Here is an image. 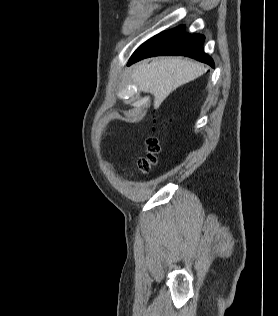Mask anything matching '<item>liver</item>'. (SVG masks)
<instances>
[{
    "label": "liver",
    "instance_id": "liver-1",
    "mask_svg": "<svg viewBox=\"0 0 278 316\" xmlns=\"http://www.w3.org/2000/svg\"><path fill=\"white\" fill-rule=\"evenodd\" d=\"M205 71L200 63L181 57H164L135 65L132 79L141 91L154 96V108H158L177 87L200 77Z\"/></svg>",
    "mask_w": 278,
    "mask_h": 316
}]
</instances>
